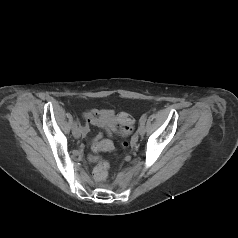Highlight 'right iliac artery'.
Masks as SVG:
<instances>
[{
    "label": "right iliac artery",
    "mask_w": 238,
    "mask_h": 238,
    "mask_svg": "<svg viewBox=\"0 0 238 238\" xmlns=\"http://www.w3.org/2000/svg\"><path fill=\"white\" fill-rule=\"evenodd\" d=\"M77 125H78V121H74L73 122V125H72V128L74 129V128H77Z\"/></svg>",
    "instance_id": "82829eb1"
}]
</instances>
